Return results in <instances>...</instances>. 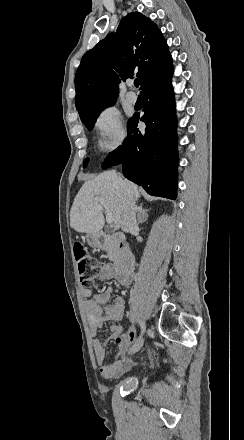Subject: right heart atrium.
I'll return each instance as SVG.
<instances>
[{"instance_id": "1", "label": "right heart atrium", "mask_w": 244, "mask_h": 440, "mask_svg": "<svg viewBox=\"0 0 244 440\" xmlns=\"http://www.w3.org/2000/svg\"><path fill=\"white\" fill-rule=\"evenodd\" d=\"M94 127L100 137V145L105 150L118 147L124 138L120 112L115 107L101 110L94 119Z\"/></svg>"}]
</instances>
